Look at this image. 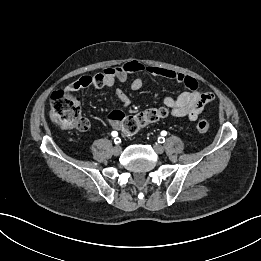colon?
Masks as SVG:
<instances>
[{"instance_id":"obj_1","label":"colon","mask_w":261,"mask_h":261,"mask_svg":"<svg viewBox=\"0 0 261 261\" xmlns=\"http://www.w3.org/2000/svg\"><path fill=\"white\" fill-rule=\"evenodd\" d=\"M82 82L76 81L68 87L55 91L50 99V117L54 123L63 129H75L85 131L89 128V121L81 113L79 100L73 95V91L82 86ZM169 111L165 107L149 108L135 115H124L118 111L110 113V118L118 121L122 135L130 137L141 128L160 119L167 117ZM200 133L209 129L206 120H200L196 124Z\"/></svg>"}]
</instances>
